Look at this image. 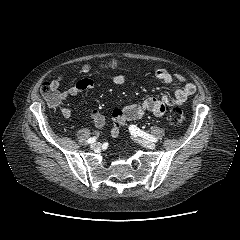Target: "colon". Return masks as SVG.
Listing matches in <instances>:
<instances>
[{
	"label": "colon",
	"mask_w": 240,
	"mask_h": 240,
	"mask_svg": "<svg viewBox=\"0 0 240 240\" xmlns=\"http://www.w3.org/2000/svg\"><path fill=\"white\" fill-rule=\"evenodd\" d=\"M121 66L122 64L116 60H112L102 65V67L104 68H111V69H118V68H121ZM89 69H90L89 67H85L83 70L85 72H88ZM41 92L49 105L53 107H56L59 105V98L49 82H46L42 85ZM169 121L172 125L179 126L183 124L185 121V113L180 108H174L169 113Z\"/></svg>",
	"instance_id": "5ec220e1"
}]
</instances>
